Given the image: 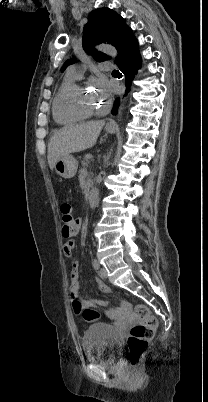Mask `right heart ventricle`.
Wrapping results in <instances>:
<instances>
[{
  "label": "right heart ventricle",
  "instance_id": "obj_1",
  "mask_svg": "<svg viewBox=\"0 0 208 402\" xmlns=\"http://www.w3.org/2000/svg\"><path fill=\"white\" fill-rule=\"evenodd\" d=\"M76 79L66 76L52 100V116L60 126H76L84 123L89 116H79L70 111L67 99L72 90L77 87Z\"/></svg>",
  "mask_w": 208,
  "mask_h": 402
}]
</instances>
